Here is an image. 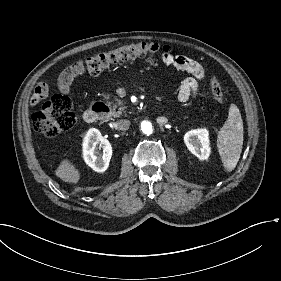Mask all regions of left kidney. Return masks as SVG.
<instances>
[{"label":"left kidney","mask_w":281,"mask_h":281,"mask_svg":"<svg viewBox=\"0 0 281 281\" xmlns=\"http://www.w3.org/2000/svg\"><path fill=\"white\" fill-rule=\"evenodd\" d=\"M184 141L197 158L201 160L207 159L209 156L208 133L205 129L193 130L185 134Z\"/></svg>","instance_id":"obj_1"}]
</instances>
